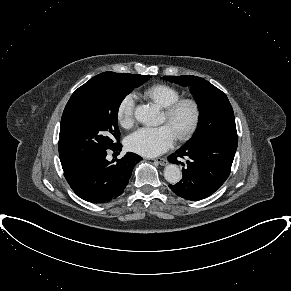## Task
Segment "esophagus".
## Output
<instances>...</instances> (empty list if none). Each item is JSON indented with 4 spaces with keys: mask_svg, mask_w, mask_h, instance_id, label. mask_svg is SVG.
<instances>
[{
    "mask_svg": "<svg viewBox=\"0 0 291 291\" xmlns=\"http://www.w3.org/2000/svg\"><path fill=\"white\" fill-rule=\"evenodd\" d=\"M154 162L161 165V166H165L168 163L166 158H156V159H154Z\"/></svg>",
    "mask_w": 291,
    "mask_h": 291,
    "instance_id": "obj_1",
    "label": "esophagus"
}]
</instances>
